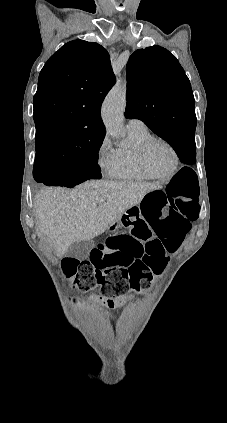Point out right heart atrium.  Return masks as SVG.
Instances as JSON below:
<instances>
[{"label":"right heart atrium","mask_w":227,"mask_h":423,"mask_svg":"<svg viewBox=\"0 0 227 423\" xmlns=\"http://www.w3.org/2000/svg\"><path fill=\"white\" fill-rule=\"evenodd\" d=\"M96 161L103 174L113 176L116 167L115 150L107 135H104L99 142Z\"/></svg>","instance_id":"right-heart-atrium-1"}]
</instances>
